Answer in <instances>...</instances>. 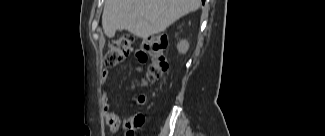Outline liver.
<instances>
[{
	"instance_id": "liver-1",
	"label": "liver",
	"mask_w": 325,
	"mask_h": 136,
	"mask_svg": "<svg viewBox=\"0 0 325 136\" xmlns=\"http://www.w3.org/2000/svg\"><path fill=\"white\" fill-rule=\"evenodd\" d=\"M201 0H105L102 26L108 38L127 30L146 39L196 11Z\"/></svg>"
}]
</instances>
